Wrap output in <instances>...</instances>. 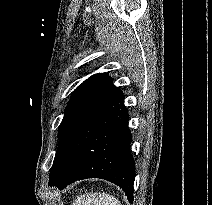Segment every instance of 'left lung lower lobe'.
Segmentation results:
<instances>
[{
	"mask_svg": "<svg viewBox=\"0 0 212 205\" xmlns=\"http://www.w3.org/2000/svg\"><path fill=\"white\" fill-rule=\"evenodd\" d=\"M128 112L119 88L108 90L79 125L57 179L63 189L85 178H102L120 186L133 200L135 163L130 153Z\"/></svg>",
	"mask_w": 212,
	"mask_h": 205,
	"instance_id": "1",
	"label": "left lung lower lobe"
}]
</instances>
